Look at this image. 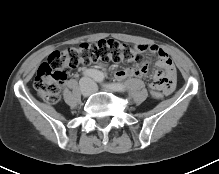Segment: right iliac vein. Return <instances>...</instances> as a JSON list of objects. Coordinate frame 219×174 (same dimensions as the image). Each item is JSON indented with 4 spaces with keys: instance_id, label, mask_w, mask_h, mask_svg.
I'll return each instance as SVG.
<instances>
[{
    "instance_id": "obj_1",
    "label": "right iliac vein",
    "mask_w": 219,
    "mask_h": 174,
    "mask_svg": "<svg viewBox=\"0 0 219 174\" xmlns=\"http://www.w3.org/2000/svg\"><path fill=\"white\" fill-rule=\"evenodd\" d=\"M81 94L84 97H88L91 94V91H90V89L87 86H82L81 87Z\"/></svg>"
}]
</instances>
